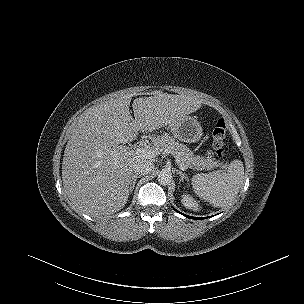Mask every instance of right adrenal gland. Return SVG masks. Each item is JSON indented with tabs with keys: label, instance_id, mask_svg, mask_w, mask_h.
<instances>
[{
	"label": "right adrenal gland",
	"instance_id": "obj_1",
	"mask_svg": "<svg viewBox=\"0 0 304 304\" xmlns=\"http://www.w3.org/2000/svg\"><path fill=\"white\" fill-rule=\"evenodd\" d=\"M140 177H141V175H137V174H134V175L132 176L131 181H130V188H129L130 193H132V191H133V189H134V187H135L136 181H137V179L140 178Z\"/></svg>",
	"mask_w": 304,
	"mask_h": 304
}]
</instances>
